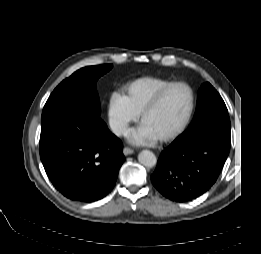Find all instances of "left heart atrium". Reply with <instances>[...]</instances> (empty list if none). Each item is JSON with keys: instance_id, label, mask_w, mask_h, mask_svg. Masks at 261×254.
<instances>
[{"instance_id": "left-heart-atrium-1", "label": "left heart atrium", "mask_w": 261, "mask_h": 254, "mask_svg": "<svg viewBox=\"0 0 261 254\" xmlns=\"http://www.w3.org/2000/svg\"><path fill=\"white\" fill-rule=\"evenodd\" d=\"M127 139L134 145L143 146L153 142L155 137L141 125L139 128L130 131L127 134Z\"/></svg>"}]
</instances>
